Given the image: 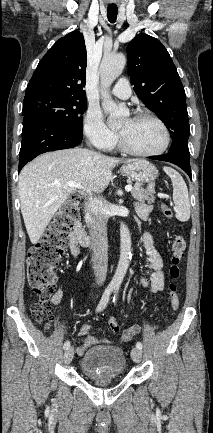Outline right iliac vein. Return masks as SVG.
<instances>
[{
	"mask_svg": "<svg viewBox=\"0 0 213 433\" xmlns=\"http://www.w3.org/2000/svg\"><path fill=\"white\" fill-rule=\"evenodd\" d=\"M74 357V349L72 347L66 349L64 353V362L65 364H70Z\"/></svg>",
	"mask_w": 213,
	"mask_h": 433,
	"instance_id": "63e3f726",
	"label": "right iliac vein"
}]
</instances>
